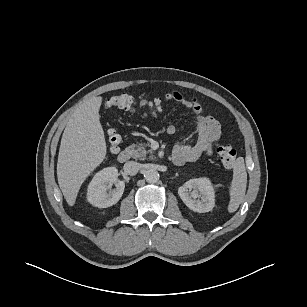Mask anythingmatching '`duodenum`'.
<instances>
[{
	"instance_id": "1",
	"label": "duodenum",
	"mask_w": 307,
	"mask_h": 307,
	"mask_svg": "<svg viewBox=\"0 0 307 307\" xmlns=\"http://www.w3.org/2000/svg\"><path fill=\"white\" fill-rule=\"evenodd\" d=\"M118 152V151H117ZM131 157V151L130 150H122L121 152L118 153V161L120 163H125L127 162Z\"/></svg>"
}]
</instances>
